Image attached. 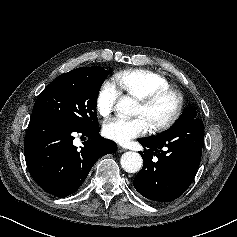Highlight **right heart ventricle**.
<instances>
[{
	"instance_id": "e07e8e85",
	"label": "right heart ventricle",
	"mask_w": 237,
	"mask_h": 237,
	"mask_svg": "<svg viewBox=\"0 0 237 237\" xmlns=\"http://www.w3.org/2000/svg\"><path fill=\"white\" fill-rule=\"evenodd\" d=\"M114 82L128 96L140 98L158 89L170 88L168 79L145 69H130L116 73Z\"/></svg>"
}]
</instances>
